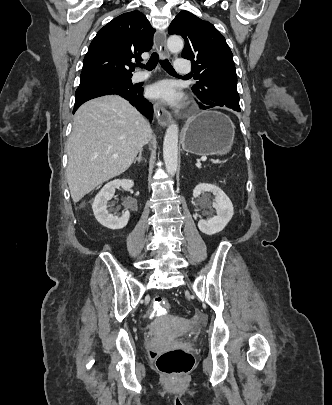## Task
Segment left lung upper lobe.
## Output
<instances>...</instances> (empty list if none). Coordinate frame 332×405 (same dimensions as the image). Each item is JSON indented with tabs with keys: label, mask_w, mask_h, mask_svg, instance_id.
I'll use <instances>...</instances> for the list:
<instances>
[{
	"label": "left lung upper lobe",
	"mask_w": 332,
	"mask_h": 405,
	"mask_svg": "<svg viewBox=\"0 0 332 405\" xmlns=\"http://www.w3.org/2000/svg\"><path fill=\"white\" fill-rule=\"evenodd\" d=\"M169 34L185 40L182 57L192 61V92L205 109L221 106L240 111L233 54L223 35L209 22L181 11L171 22Z\"/></svg>",
	"instance_id": "1"
}]
</instances>
